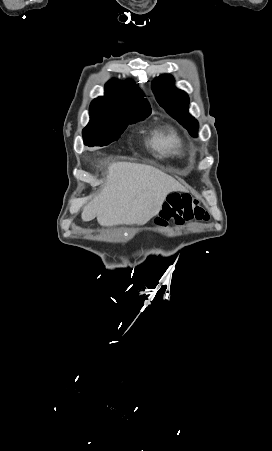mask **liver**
Listing matches in <instances>:
<instances>
[{"label": "liver", "mask_w": 272, "mask_h": 451, "mask_svg": "<svg viewBox=\"0 0 272 451\" xmlns=\"http://www.w3.org/2000/svg\"><path fill=\"white\" fill-rule=\"evenodd\" d=\"M170 192H185L177 180L145 164H108L107 182L81 214L83 222L97 218L100 226H143L162 210Z\"/></svg>", "instance_id": "1"}]
</instances>
